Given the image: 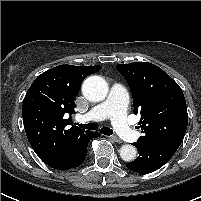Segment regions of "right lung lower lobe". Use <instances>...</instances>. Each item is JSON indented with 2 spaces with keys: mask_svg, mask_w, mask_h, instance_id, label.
<instances>
[{
  "mask_svg": "<svg viewBox=\"0 0 201 201\" xmlns=\"http://www.w3.org/2000/svg\"><path fill=\"white\" fill-rule=\"evenodd\" d=\"M99 137L97 132L86 131L75 143L71 151L63 158L47 163L58 170L76 168L82 164L87 155V146L92 138Z\"/></svg>",
  "mask_w": 201,
  "mask_h": 201,
  "instance_id": "right-lung-lower-lobe-1",
  "label": "right lung lower lobe"
}]
</instances>
